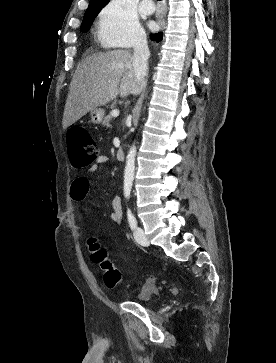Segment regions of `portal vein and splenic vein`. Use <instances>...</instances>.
<instances>
[{
  "label": "portal vein and splenic vein",
  "instance_id": "portal-vein-and-splenic-vein-1",
  "mask_svg": "<svg viewBox=\"0 0 276 363\" xmlns=\"http://www.w3.org/2000/svg\"><path fill=\"white\" fill-rule=\"evenodd\" d=\"M119 113H120V112H119V110H117V109H116V110H113V111L111 112V114H112V116H113V117H118V116H119Z\"/></svg>",
  "mask_w": 276,
  "mask_h": 363
}]
</instances>
